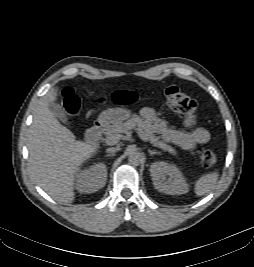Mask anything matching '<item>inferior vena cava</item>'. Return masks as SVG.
<instances>
[{
    "label": "inferior vena cava",
    "instance_id": "602c4592",
    "mask_svg": "<svg viewBox=\"0 0 254 267\" xmlns=\"http://www.w3.org/2000/svg\"><path fill=\"white\" fill-rule=\"evenodd\" d=\"M108 153H115L119 151V148L111 147L106 150Z\"/></svg>",
    "mask_w": 254,
    "mask_h": 267
}]
</instances>
